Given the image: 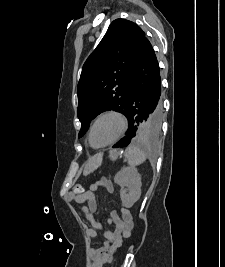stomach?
Listing matches in <instances>:
<instances>
[{
    "label": "stomach",
    "instance_id": "stomach-1",
    "mask_svg": "<svg viewBox=\"0 0 225 267\" xmlns=\"http://www.w3.org/2000/svg\"><path fill=\"white\" fill-rule=\"evenodd\" d=\"M101 164V156H96L90 160L89 164L87 165L85 171L90 172L97 168Z\"/></svg>",
    "mask_w": 225,
    "mask_h": 267
}]
</instances>
